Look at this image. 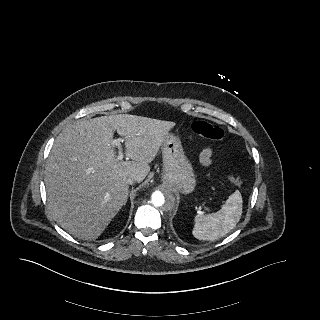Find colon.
Segmentation results:
<instances>
[{
	"label": "colon",
	"instance_id": "1",
	"mask_svg": "<svg viewBox=\"0 0 320 320\" xmlns=\"http://www.w3.org/2000/svg\"><path fill=\"white\" fill-rule=\"evenodd\" d=\"M193 131L201 137L219 141L223 138L224 132L218 125L205 121V120H197L192 123ZM230 183L235 186L241 185L242 181L238 176L231 175L229 177Z\"/></svg>",
	"mask_w": 320,
	"mask_h": 320
}]
</instances>
